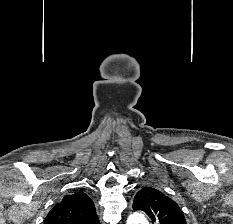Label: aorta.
<instances>
[{
	"label": "aorta",
	"mask_w": 233,
	"mask_h": 224,
	"mask_svg": "<svg viewBox=\"0 0 233 224\" xmlns=\"http://www.w3.org/2000/svg\"><path fill=\"white\" fill-rule=\"evenodd\" d=\"M126 224H148V222L143 214L133 213L128 217Z\"/></svg>",
	"instance_id": "obj_1"
}]
</instances>
